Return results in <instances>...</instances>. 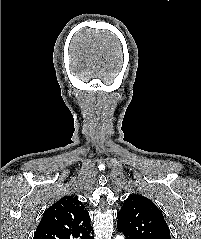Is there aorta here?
I'll list each match as a JSON object with an SVG mask.
<instances>
[{"mask_svg":"<svg viewBox=\"0 0 201 239\" xmlns=\"http://www.w3.org/2000/svg\"><path fill=\"white\" fill-rule=\"evenodd\" d=\"M115 239H124L122 235H117Z\"/></svg>","mask_w":201,"mask_h":239,"instance_id":"1","label":"aorta"}]
</instances>
